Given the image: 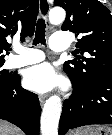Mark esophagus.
<instances>
[{
    "mask_svg": "<svg viewBox=\"0 0 112 135\" xmlns=\"http://www.w3.org/2000/svg\"><path fill=\"white\" fill-rule=\"evenodd\" d=\"M49 9H50V5H49L48 0H40L39 1L40 14L46 20V22H47V17H48ZM47 25H48V28L50 29L51 28V25H50L49 22H47ZM45 98H46V96H44V95H41L39 97V101H40V104L41 105L45 102Z\"/></svg>",
    "mask_w": 112,
    "mask_h": 135,
    "instance_id": "esophagus-1",
    "label": "esophagus"
}]
</instances>
